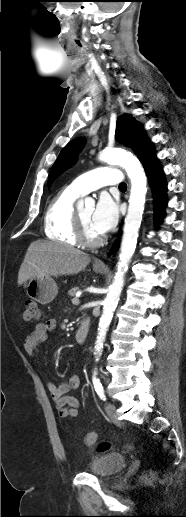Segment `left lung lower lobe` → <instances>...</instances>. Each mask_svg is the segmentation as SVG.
<instances>
[{"label":"left lung lower lobe","instance_id":"left-lung-lower-lobe-1","mask_svg":"<svg viewBox=\"0 0 186 517\" xmlns=\"http://www.w3.org/2000/svg\"><path fill=\"white\" fill-rule=\"evenodd\" d=\"M139 160L143 164L148 177L151 179L155 198V215L157 218H160L167 204V200L165 198L167 184L163 178V170L161 166L155 163V156L152 154V150L150 149L142 154L139 157Z\"/></svg>","mask_w":186,"mask_h":517}]
</instances>
